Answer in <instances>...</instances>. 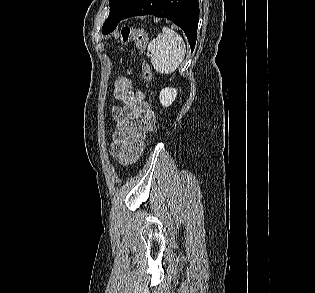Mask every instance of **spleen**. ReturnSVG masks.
Returning a JSON list of instances; mask_svg holds the SVG:
<instances>
[{
  "label": "spleen",
  "mask_w": 315,
  "mask_h": 293,
  "mask_svg": "<svg viewBox=\"0 0 315 293\" xmlns=\"http://www.w3.org/2000/svg\"><path fill=\"white\" fill-rule=\"evenodd\" d=\"M151 53V63L160 74L174 72L184 59L186 45L182 37L174 30L163 27L159 34L148 44Z\"/></svg>",
  "instance_id": "3e777b00"
}]
</instances>
